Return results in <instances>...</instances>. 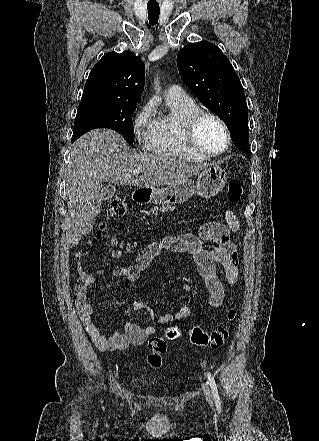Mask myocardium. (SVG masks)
Returning <instances> with one entry per match:
<instances>
[{
    "label": "myocardium",
    "instance_id": "1",
    "mask_svg": "<svg viewBox=\"0 0 319 441\" xmlns=\"http://www.w3.org/2000/svg\"><path fill=\"white\" fill-rule=\"evenodd\" d=\"M206 119H212L216 123H218L225 134V137H226L225 146L217 152L208 151V150L202 148L198 143L197 133H198L200 125ZM184 141H185L186 146L192 152H194L200 156H203L205 158H211V157L220 156L229 149V147L231 145V134H230V130H229L227 124L225 123V121L222 118H220L218 115H216L210 111L199 109V110L195 111L194 113H192L187 118V120L185 122Z\"/></svg>",
    "mask_w": 319,
    "mask_h": 441
}]
</instances>
